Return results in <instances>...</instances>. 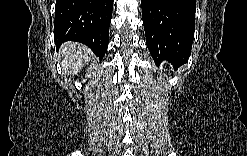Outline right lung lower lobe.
<instances>
[{"mask_svg": "<svg viewBox=\"0 0 247 156\" xmlns=\"http://www.w3.org/2000/svg\"><path fill=\"white\" fill-rule=\"evenodd\" d=\"M113 0H56L54 38L87 45L99 58L108 47Z\"/></svg>", "mask_w": 247, "mask_h": 156, "instance_id": "obj_1", "label": "right lung lower lobe"}]
</instances>
